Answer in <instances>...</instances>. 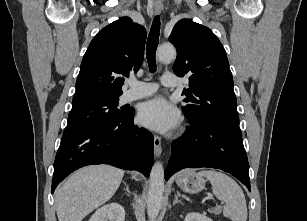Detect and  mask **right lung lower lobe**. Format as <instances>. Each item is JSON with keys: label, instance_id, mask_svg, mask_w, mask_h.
Here are the masks:
<instances>
[{"label": "right lung lower lobe", "instance_id": "right-lung-lower-lobe-1", "mask_svg": "<svg viewBox=\"0 0 307 221\" xmlns=\"http://www.w3.org/2000/svg\"><path fill=\"white\" fill-rule=\"evenodd\" d=\"M134 110L122 117L63 134L54 162L52 193L70 173L90 164H109L149 176L153 136L133 123Z\"/></svg>", "mask_w": 307, "mask_h": 221}]
</instances>
